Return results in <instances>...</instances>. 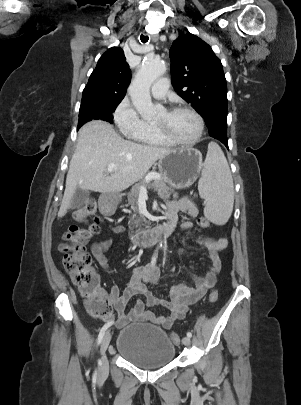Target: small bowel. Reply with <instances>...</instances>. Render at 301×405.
I'll return each mask as SVG.
<instances>
[{
  "label": "small bowel",
  "mask_w": 301,
  "mask_h": 405,
  "mask_svg": "<svg viewBox=\"0 0 301 405\" xmlns=\"http://www.w3.org/2000/svg\"><path fill=\"white\" fill-rule=\"evenodd\" d=\"M180 213L187 214L192 219H195L199 212L196 205L187 198L167 204L166 215L168 220L176 222ZM192 226V221H186L182 224L183 229H188ZM112 232L114 234H121L124 232V228L117 226L113 228ZM198 244L207 249L210 266L204 275L192 274L194 287L185 283H177L169 290L168 299L161 300L146 286V283L153 285L158 283V267L155 265L133 267L123 290L116 284H113L109 291L103 292L106 294L109 303L114 306L117 315L116 320H110L109 322L116 323L117 327L122 328L132 322L148 321L165 329H170L176 321L183 319L189 306L201 299L215 286L217 274L221 268L219 254L227 247L228 240L226 238H201L198 240ZM111 245L112 240L105 238L93 243L91 246L92 254L103 269H108L109 267L110 261L106 253ZM183 252L184 250H181L180 254ZM137 294L144 296L145 300H138L130 311H127L130 299ZM153 307H163L168 310V314L159 315L152 310Z\"/></svg>",
  "instance_id": "c3829d8e"
}]
</instances>
